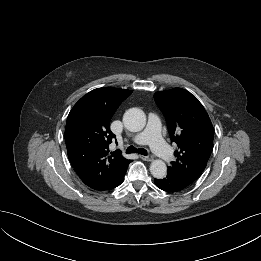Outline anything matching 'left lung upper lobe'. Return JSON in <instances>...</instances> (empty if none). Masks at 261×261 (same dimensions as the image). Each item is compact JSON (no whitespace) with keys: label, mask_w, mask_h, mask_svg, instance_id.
<instances>
[{"label":"left lung upper lobe","mask_w":261,"mask_h":261,"mask_svg":"<svg viewBox=\"0 0 261 261\" xmlns=\"http://www.w3.org/2000/svg\"><path fill=\"white\" fill-rule=\"evenodd\" d=\"M154 99L179 148L177 160L168 167V173L192 184L204 171L213 149L214 128L210 118L199 100L187 90L158 91Z\"/></svg>","instance_id":"5c2ea615"}]
</instances>
